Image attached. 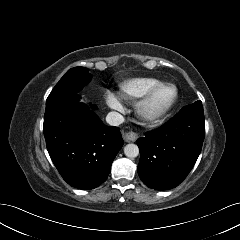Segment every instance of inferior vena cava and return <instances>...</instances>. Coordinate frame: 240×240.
Listing matches in <instances>:
<instances>
[{
    "instance_id": "602c4592",
    "label": "inferior vena cava",
    "mask_w": 240,
    "mask_h": 240,
    "mask_svg": "<svg viewBox=\"0 0 240 240\" xmlns=\"http://www.w3.org/2000/svg\"><path fill=\"white\" fill-rule=\"evenodd\" d=\"M106 122L112 126H118L124 122V117L115 111L109 112L106 116Z\"/></svg>"
}]
</instances>
